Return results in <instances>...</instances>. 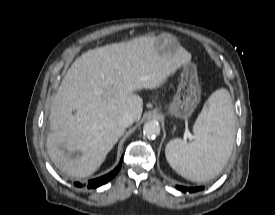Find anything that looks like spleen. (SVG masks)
Returning <instances> with one entry per match:
<instances>
[{"label":"spleen","mask_w":275,"mask_h":215,"mask_svg":"<svg viewBox=\"0 0 275 215\" xmlns=\"http://www.w3.org/2000/svg\"><path fill=\"white\" fill-rule=\"evenodd\" d=\"M194 141H170L165 155L170 166L182 177L206 182L218 175L233 150L235 114L229 92L216 90L205 102L194 124Z\"/></svg>","instance_id":"3e777b00"}]
</instances>
